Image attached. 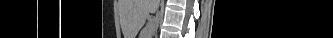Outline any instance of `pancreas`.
Wrapping results in <instances>:
<instances>
[{"instance_id":"cf45deb5","label":"pancreas","mask_w":333,"mask_h":38,"mask_svg":"<svg viewBox=\"0 0 333 38\" xmlns=\"http://www.w3.org/2000/svg\"><path fill=\"white\" fill-rule=\"evenodd\" d=\"M154 29L153 23L148 24L146 28L141 32V36L146 37L149 33H152Z\"/></svg>"}]
</instances>
